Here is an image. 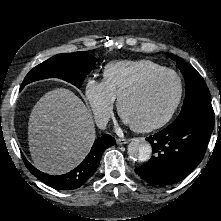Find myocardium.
<instances>
[{"label":"myocardium","mask_w":221,"mask_h":221,"mask_svg":"<svg viewBox=\"0 0 221 221\" xmlns=\"http://www.w3.org/2000/svg\"><path fill=\"white\" fill-rule=\"evenodd\" d=\"M163 75H172L176 79L177 84H178V92H177L176 99H175L173 105L171 106L170 110L167 112V114L164 117H162L160 120H158L152 124H147V125H131L130 124V127L136 132H143L144 133V132H151V131L160 129L163 126H165L173 118L174 114L176 113L177 109L179 108V106L181 104L182 97H183V91H184L183 81H182L180 75L176 71H174L172 69H168V68L154 71L152 73L147 74L145 77H143L137 83H135L134 85L129 87L118 98L117 110H118L119 115L123 118L122 112H123L124 102L129 97H131V96L137 94L138 92H140L141 90H143L152 80H154L157 77L163 76Z\"/></svg>","instance_id":"myocardium-1"}]
</instances>
